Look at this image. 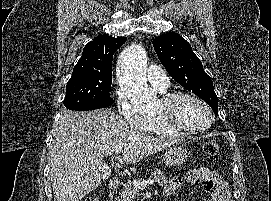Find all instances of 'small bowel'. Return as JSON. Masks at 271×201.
Listing matches in <instances>:
<instances>
[{
  "instance_id": "c3829d8e",
  "label": "small bowel",
  "mask_w": 271,
  "mask_h": 201,
  "mask_svg": "<svg viewBox=\"0 0 271 201\" xmlns=\"http://www.w3.org/2000/svg\"><path fill=\"white\" fill-rule=\"evenodd\" d=\"M199 185L207 195V201H229L228 187L221 176L207 167L190 170L184 178L173 177L164 187L165 196L173 195L180 187Z\"/></svg>"
}]
</instances>
